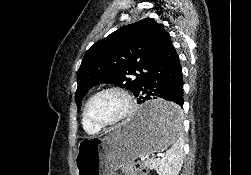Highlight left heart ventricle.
<instances>
[{"label": "left heart ventricle", "instance_id": "obj_1", "mask_svg": "<svg viewBox=\"0 0 251 175\" xmlns=\"http://www.w3.org/2000/svg\"><path fill=\"white\" fill-rule=\"evenodd\" d=\"M127 110L124 95L119 91H107L98 95L90 106V117L103 124L121 119Z\"/></svg>", "mask_w": 251, "mask_h": 175}]
</instances>
